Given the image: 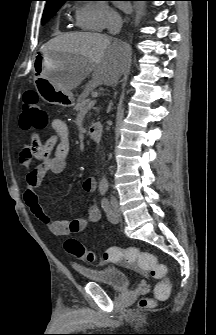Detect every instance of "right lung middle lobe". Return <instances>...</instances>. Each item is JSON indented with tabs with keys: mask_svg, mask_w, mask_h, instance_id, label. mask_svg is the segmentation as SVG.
Returning a JSON list of instances; mask_svg holds the SVG:
<instances>
[{
	"mask_svg": "<svg viewBox=\"0 0 216 335\" xmlns=\"http://www.w3.org/2000/svg\"><path fill=\"white\" fill-rule=\"evenodd\" d=\"M62 4L63 3H57L45 7L42 17V25H44L58 11Z\"/></svg>",
	"mask_w": 216,
	"mask_h": 335,
	"instance_id": "right-lung-middle-lobe-1",
	"label": "right lung middle lobe"
}]
</instances>
